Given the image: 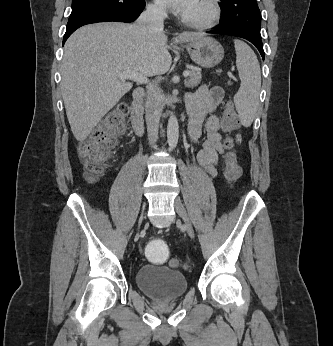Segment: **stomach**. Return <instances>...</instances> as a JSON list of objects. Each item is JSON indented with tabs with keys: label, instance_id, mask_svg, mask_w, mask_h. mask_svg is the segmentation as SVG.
<instances>
[{
	"label": "stomach",
	"instance_id": "1",
	"mask_svg": "<svg viewBox=\"0 0 333 346\" xmlns=\"http://www.w3.org/2000/svg\"><path fill=\"white\" fill-rule=\"evenodd\" d=\"M191 59L201 67L218 65L224 57L222 45L211 37H202L185 46Z\"/></svg>",
	"mask_w": 333,
	"mask_h": 346
}]
</instances>
